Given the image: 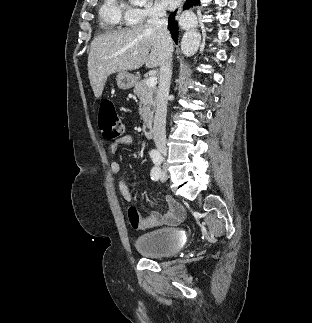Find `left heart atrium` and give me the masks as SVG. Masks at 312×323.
<instances>
[{"label":"left heart atrium","instance_id":"39dd6f15","mask_svg":"<svg viewBox=\"0 0 312 323\" xmlns=\"http://www.w3.org/2000/svg\"><path fill=\"white\" fill-rule=\"evenodd\" d=\"M161 7L167 8L168 11H171L172 8H179L180 4L184 3V0H160Z\"/></svg>","mask_w":312,"mask_h":323}]
</instances>
